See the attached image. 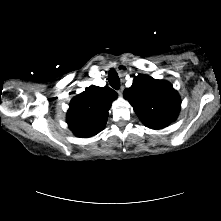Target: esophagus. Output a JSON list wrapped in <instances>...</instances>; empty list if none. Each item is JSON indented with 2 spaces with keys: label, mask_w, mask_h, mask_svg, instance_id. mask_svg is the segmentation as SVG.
Here are the masks:
<instances>
[{
  "label": "esophagus",
  "mask_w": 221,
  "mask_h": 221,
  "mask_svg": "<svg viewBox=\"0 0 221 221\" xmlns=\"http://www.w3.org/2000/svg\"><path fill=\"white\" fill-rule=\"evenodd\" d=\"M123 87H121L120 89H119V91H118V94L121 96L122 95V92H123Z\"/></svg>",
  "instance_id": "esophagus-1"
}]
</instances>
